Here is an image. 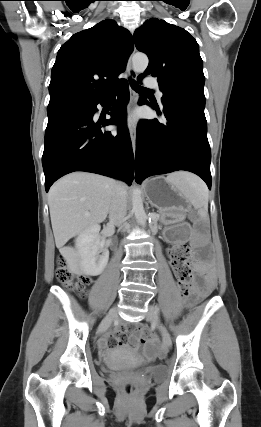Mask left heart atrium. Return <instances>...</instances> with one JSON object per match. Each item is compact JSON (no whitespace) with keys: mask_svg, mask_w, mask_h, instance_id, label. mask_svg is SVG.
Here are the masks:
<instances>
[{"mask_svg":"<svg viewBox=\"0 0 261 427\" xmlns=\"http://www.w3.org/2000/svg\"><path fill=\"white\" fill-rule=\"evenodd\" d=\"M137 120L138 117L136 114H131L128 116V118L126 119V126H128L129 128H135L136 124H137Z\"/></svg>","mask_w":261,"mask_h":427,"instance_id":"left-heart-atrium-1","label":"left heart atrium"}]
</instances>
